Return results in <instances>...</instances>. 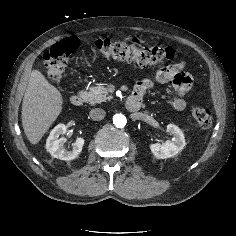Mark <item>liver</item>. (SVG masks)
Segmentation results:
<instances>
[{
	"label": "liver",
	"instance_id": "6515ba94",
	"mask_svg": "<svg viewBox=\"0 0 236 236\" xmlns=\"http://www.w3.org/2000/svg\"><path fill=\"white\" fill-rule=\"evenodd\" d=\"M63 98L38 70L30 74L22 103V126L31 144H37L62 111Z\"/></svg>",
	"mask_w": 236,
	"mask_h": 236
}]
</instances>
